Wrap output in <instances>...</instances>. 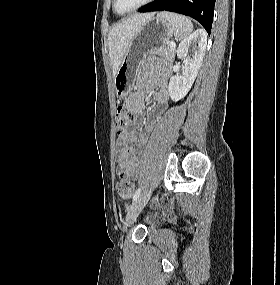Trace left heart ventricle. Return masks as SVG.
Masks as SVG:
<instances>
[{"instance_id": "obj_1", "label": "left heart ventricle", "mask_w": 280, "mask_h": 285, "mask_svg": "<svg viewBox=\"0 0 280 285\" xmlns=\"http://www.w3.org/2000/svg\"><path fill=\"white\" fill-rule=\"evenodd\" d=\"M143 1L144 0H118L117 7L119 11L125 12L136 7L138 4H140Z\"/></svg>"}]
</instances>
